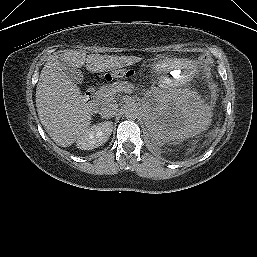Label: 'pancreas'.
Returning a JSON list of instances; mask_svg holds the SVG:
<instances>
[{
  "label": "pancreas",
  "mask_w": 257,
  "mask_h": 257,
  "mask_svg": "<svg viewBox=\"0 0 257 257\" xmlns=\"http://www.w3.org/2000/svg\"><path fill=\"white\" fill-rule=\"evenodd\" d=\"M133 88V85L127 81H120L114 82L113 84H108L102 86L96 93H95V101L97 104H105L112 101L113 96L117 93L119 88Z\"/></svg>",
  "instance_id": "cf45deb5"
}]
</instances>
